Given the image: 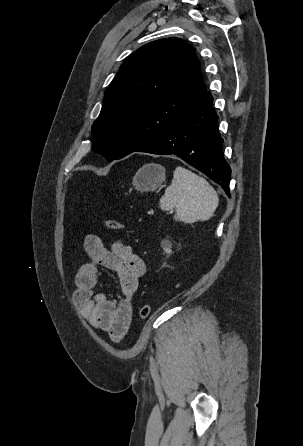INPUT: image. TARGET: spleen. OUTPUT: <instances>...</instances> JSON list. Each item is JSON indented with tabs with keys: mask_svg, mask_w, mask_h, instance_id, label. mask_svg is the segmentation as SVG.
<instances>
[{
	"mask_svg": "<svg viewBox=\"0 0 303 446\" xmlns=\"http://www.w3.org/2000/svg\"><path fill=\"white\" fill-rule=\"evenodd\" d=\"M214 188L202 177L177 167L170 186L161 197L159 207L168 211L176 207L174 219L184 223L209 220L218 206Z\"/></svg>",
	"mask_w": 303,
	"mask_h": 446,
	"instance_id": "spleen-1",
	"label": "spleen"
}]
</instances>
